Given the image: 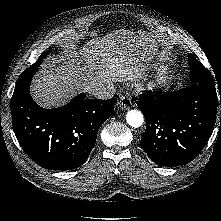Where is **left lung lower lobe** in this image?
Segmentation results:
<instances>
[{
  "mask_svg": "<svg viewBox=\"0 0 221 221\" xmlns=\"http://www.w3.org/2000/svg\"><path fill=\"white\" fill-rule=\"evenodd\" d=\"M219 102L221 94L202 84L155 97L151 92L142 95L137 101L146 120L141 147L159 165L189 163L211 137Z\"/></svg>",
  "mask_w": 221,
  "mask_h": 221,
  "instance_id": "0a47b994",
  "label": "left lung lower lobe"
}]
</instances>
